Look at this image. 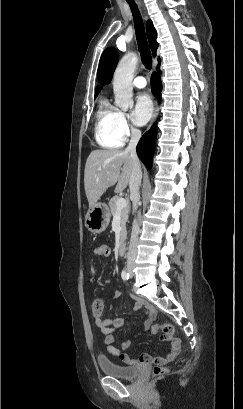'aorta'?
Returning a JSON list of instances; mask_svg holds the SVG:
<instances>
[{
    "label": "aorta",
    "mask_w": 243,
    "mask_h": 409,
    "mask_svg": "<svg viewBox=\"0 0 243 409\" xmlns=\"http://www.w3.org/2000/svg\"><path fill=\"white\" fill-rule=\"evenodd\" d=\"M138 63L134 53L126 54L119 62L113 76L115 104L122 110L133 107V74Z\"/></svg>",
    "instance_id": "762f6f07"
}]
</instances>
